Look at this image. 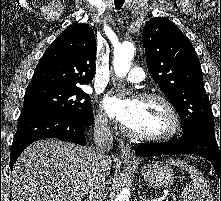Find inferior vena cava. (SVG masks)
I'll use <instances>...</instances> for the list:
<instances>
[{"label": "inferior vena cava", "mask_w": 221, "mask_h": 201, "mask_svg": "<svg viewBox=\"0 0 221 201\" xmlns=\"http://www.w3.org/2000/svg\"><path fill=\"white\" fill-rule=\"evenodd\" d=\"M95 146L90 148L92 171L90 178L89 200L103 201L106 187L107 167L109 156L107 152L113 145V135L108 126V119L101 117L95 120Z\"/></svg>", "instance_id": "602c4592"}]
</instances>
